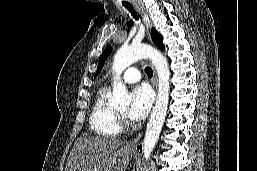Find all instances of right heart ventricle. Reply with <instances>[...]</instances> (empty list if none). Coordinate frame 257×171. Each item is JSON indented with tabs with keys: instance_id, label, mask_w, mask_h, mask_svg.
I'll use <instances>...</instances> for the list:
<instances>
[{
	"instance_id": "1",
	"label": "right heart ventricle",
	"mask_w": 257,
	"mask_h": 171,
	"mask_svg": "<svg viewBox=\"0 0 257 171\" xmlns=\"http://www.w3.org/2000/svg\"><path fill=\"white\" fill-rule=\"evenodd\" d=\"M109 90L102 88L94 101L89 117L92 131L102 136H118L121 128L116 111L108 103Z\"/></svg>"
}]
</instances>
